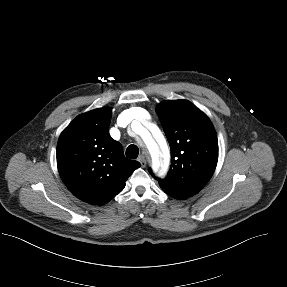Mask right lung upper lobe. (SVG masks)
<instances>
[{
	"label": "right lung upper lobe",
	"instance_id": "right-lung-upper-lobe-1",
	"mask_svg": "<svg viewBox=\"0 0 287 287\" xmlns=\"http://www.w3.org/2000/svg\"><path fill=\"white\" fill-rule=\"evenodd\" d=\"M111 116L112 109L107 107L77 116L57 144V166L64 184L77 198L94 205L106 204L120 193L140 167L111 138Z\"/></svg>",
	"mask_w": 287,
	"mask_h": 287
}]
</instances>
